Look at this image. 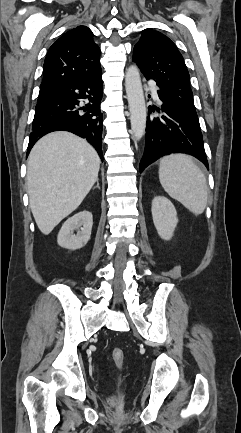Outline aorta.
I'll list each match as a JSON object with an SVG mask.
<instances>
[{
    "label": "aorta",
    "instance_id": "1",
    "mask_svg": "<svg viewBox=\"0 0 241 433\" xmlns=\"http://www.w3.org/2000/svg\"><path fill=\"white\" fill-rule=\"evenodd\" d=\"M125 88L130 110L133 137L140 140L146 128V105L140 73L136 65H131L125 75Z\"/></svg>",
    "mask_w": 241,
    "mask_h": 433
}]
</instances>
